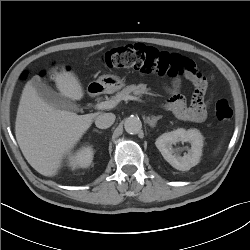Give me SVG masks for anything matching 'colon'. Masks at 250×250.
Here are the masks:
<instances>
[{
    "label": "colon",
    "instance_id": "1",
    "mask_svg": "<svg viewBox=\"0 0 250 250\" xmlns=\"http://www.w3.org/2000/svg\"><path fill=\"white\" fill-rule=\"evenodd\" d=\"M102 64L107 68H131L143 73H157L161 76L197 77L194 84L192 101H204L208 91V79L196 69L193 62L180 54L158 50L142 44L124 45L107 51ZM214 112L221 124H228L233 118V110L226 99H219L214 104Z\"/></svg>",
    "mask_w": 250,
    "mask_h": 250
}]
</instances>
